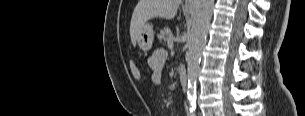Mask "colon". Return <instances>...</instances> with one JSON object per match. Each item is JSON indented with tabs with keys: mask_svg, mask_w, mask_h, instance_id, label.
I'll return each instance as SVG.
<instances>
[{
	"mask_svg": "<svg viewBox=\"0 0 305 116\" xmlns=\"http://www.w3.org/2000/svg\"><path fill=\"white\" fill-rule=\"evenodd\" d=\"M129 69L131 72V75L136 79V80H141V72L139 68L137 67L136 64L130 63Z\"/></svg>",
	"mask_w": 305,
	"mask_h": 116,
	"instance_id": "obj_1",
	"label": "colon"
}]
</instances>
